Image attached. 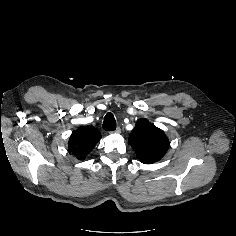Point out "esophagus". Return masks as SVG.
Wrapping results in <instances>:
<instances>
[{"instance_id":"esophagus-1","label":"esophagus","mask_w":236,"mask_h":236,"mask_svg":"<svg viewBox=\"0 0 236 236\" xmlns=\"http://www.w3.org/2000/svg\"><path fill=\"white\" fill-rule=\"evenodd\" d=\"M111 133L120 134L121 133V128L118 127V128H116V130L112 131Z\"/></svg>"}]
</instances>
